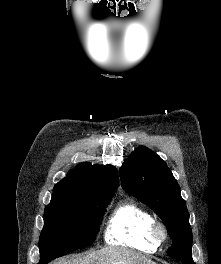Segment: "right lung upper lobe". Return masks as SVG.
Returning a JSON list of instances; mask_svg holds the SVG:
<instances>
[{
    "label": "right lung upper lobe",
    "mask_w": 221,
    "mask_h": 264,
    "mask_svg": "<svg viewBox=\"0 0 221 264\" xmlns=\"http://www.w3.org/2000/svg\"><path fill=\"white\" fill-rule=\"evenodd\" d=\"M118 185L114 166L84 162L54 186L51 202L75 204L96 196L114 195Z\"/></svg>",
    "instance_id": "1"
}]
</instances>
